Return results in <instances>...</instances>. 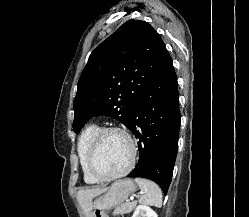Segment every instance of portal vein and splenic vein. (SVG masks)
<instances>
[{"instance_id": "1", "label": "portal vein and splenic vein", "mask_w": 249, "mask_h": 217, "mask_svg": "<svg viewBox=\"0 0 249 217\" xmlns=\"http://www.w3.org/2000/svg\"><path fill=\"white\" fill-rule=\"evenodd\" d=\"M134 199V197H131V200H133Z\"/></svg>"}]
</instances>
